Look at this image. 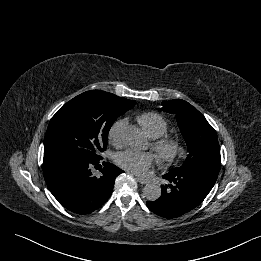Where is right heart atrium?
I'll use <instances>...</instances> for the list:
<instances>
[{
    "instance_id": "d8ad5b80",
    "label": "right heart atrium",
    "mask_w": 261,
    "mask_h": 261,
    "mask_svg": "<svg viewBox=\"0 0 261 261\" xmlns=\"http://www.w3.org/2000/svg\"><path fill=\"white\" fill-rule=\"evenodd\" d=\"M122 131H123V121L120 119L115 120L110 125L107 132L108 142L115 147H120L123 143Z\"/></svg>"
}]
</instances>
